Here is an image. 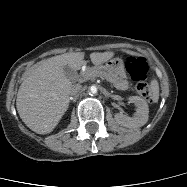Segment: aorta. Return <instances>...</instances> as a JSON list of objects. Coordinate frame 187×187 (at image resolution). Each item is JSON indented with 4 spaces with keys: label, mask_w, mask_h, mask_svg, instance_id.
Wrapping results in <instances>:
<instances>
[{
    "label": "aorta",
    "mask_w": 187,
    "mask_h": 187,
    "mask_svg": "<svg viewBox=\"0 0 187 187\" xmlns=\"http://www.w3.org/2000/svg\"><path fill=\"white\" fill-rule=\"evenodd\" d=\"M90 91H91V93L96 94L97 88L95 86H91Z\"/></svg>",
    "instance_id": "762f6f07"
}]
</instances>
